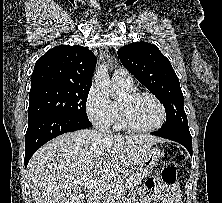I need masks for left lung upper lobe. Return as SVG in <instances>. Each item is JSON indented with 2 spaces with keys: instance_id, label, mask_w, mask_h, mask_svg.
<instances>
[{
  "instance_id": "left-lung-upper-lobe-1",
  "label": "left lung upper lobe",
  "mask_w": 222,
  "mask_h": 203,
  "mask_svg": "<svg viewBox=\"0 0 222 203\" xmlns=\"http://www.w3.org/2000/svg\"><path fill=\"white\" fill-rule=\"evenodd\" d=\"M123 66L164 105L166 122L161 129L188 128L183 93L170 61L153 44L135 42L121 47Z\"/></svg>"
}]
</instances>
